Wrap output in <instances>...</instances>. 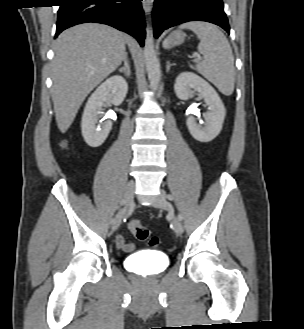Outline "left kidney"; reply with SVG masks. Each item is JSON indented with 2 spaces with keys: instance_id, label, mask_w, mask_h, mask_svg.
Segmentation results:
<instances>
[{
  "instance_id": "5707ae66",
  "label": "left kidney",
  "mask_w": 304,
  "mask_h": 329,
  "mask_svg": "<svg viewBox=\"0 0 304 329\" xmlns=\"http://www.w3.org/2000/svg\"><path fill=\"white\" fill-rule=\"evenodd\" d=\"M174 90L181 100H188L197 92L210 108L206 114L205 125L198 124L194 117L187 119L188 130L192 137L200 142H210L217 137L222 129L226 110L215 89L197 74L183 72L176 78Z\"/></svg>"
}]
</instances>
